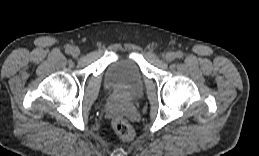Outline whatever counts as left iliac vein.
Listing matches in <instances>:
<instances>
[{
    "label": "left iliac vein",
    "instance_id": "1",
    "mask_svg": "<svg viewBox=\"0 0 259 156\" xmlns=\"http://www.w3.org/2000/svg\"><path fill=\"white\" fill-rule=\"evenodd\" d=\"M165 58L168 62H171L173 60H175L176 58V54L174 52H167L166 55H165Z\"/></svg>",
    "mask_w": 259,
    "mask_h": 156
}]
</instances>
